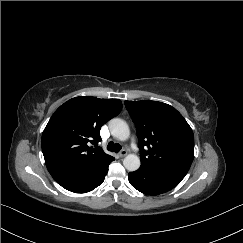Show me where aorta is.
Segmentation results:
<instances>
[{"mask_svg":"<svg viewBox=\"0 0 243 243\" xmlns=\"http://www.w3.org/2000/svg\"><path fill=\"white\" fill-rule=\"evenodd\" d=\"M109 129L112 136L118 140L124 141L130 136L128 124L120 118L111 119L109 121ZM123 165L130 172L136 171L140 167V159L135 154H129L124 158Z\"/></svg>","mask_w":243,"mask_h":243,"instance_id":"obj_1","label":"aorta"}]
</instances>
